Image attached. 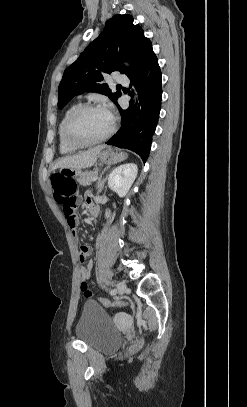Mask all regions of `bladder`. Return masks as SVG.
Returning a JSON list of instances; mask_svg holds the SVG:
<instances>
[{"mask_svg":"<svg viewBox=\"0 0 247 407\" xmlns=\"http://www.w3.org/2000/svg\"><path fill=\"white\" fill-rule=\"evenodd\" d=\"M75 333L79 341L104 353L117 350L123 341L122 334L110 322L103 308L93 300L84 304Z\"/></svg>","mask_w":247,"mask_h":407,"instance_id":"obj_1","label":"bladder"}]
</instances>
